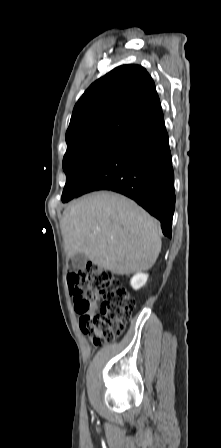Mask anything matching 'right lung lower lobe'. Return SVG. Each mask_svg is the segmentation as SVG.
Returning a JSON list of instances; mask_svg holds the SVG:
<instances>
[{"instance_id":"1","label":"right lung lower lobe","mask_w":221,"mask_h":448,"mask_svg":"<svg viewBox=\"0 0 221 448\" xmlns=\"http://www.w3.org/2000/svg\"><path fill=\"white\" fill-rule=\"evenodd\" d=\"M96 190L135 200L160 220L163 234L171 238L174 172L162 110L117 140L80 195Z\"/></svg>"}]
</instances>
